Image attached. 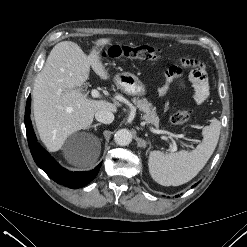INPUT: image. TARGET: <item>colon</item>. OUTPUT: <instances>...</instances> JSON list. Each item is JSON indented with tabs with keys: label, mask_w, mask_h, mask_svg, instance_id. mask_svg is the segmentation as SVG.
I'll use <instances>...</instances> for the list:
<instances>
[{
	"label": "colon",
	"mask_w": 247,
	"mask_h": 247,
	"mask_svg": "<svg viewBox=\"0 0 247 247\" xmlns=\"http://www.w3.org/2000/svg\"><path fill=\"white\" fill-rule=\"evenodd\" d=\"M161 55L162 50L160 48L150 45H114L106 52V56L109 58L157 59ZM190 120L191 115L187 108H180L171 115V121L176 125H185Z\"/></svg>",
	"instance_id": "5ec220e1"
}]
</instances>
